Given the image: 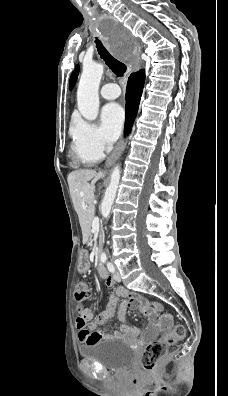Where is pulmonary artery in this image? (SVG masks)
Instances as JSON below:
<instances>
[{
	"instance_id": "obj_1",
	"label": "pulmonary artery",
	"mask_w": 228,
	"mask_h": 396,
	"mask_svg": "<svg viewBox=\"0 0 228 396\" xmlns=\"http://www.w3.org/2000/svg\"><path fill=\"white\" fill-rule=\"evenodd\" d=\"M100 94L103 98L112 100L118 98L121 94V91L117 84L108 83L102 86Z\"/></svg>"
}]
</instances>
